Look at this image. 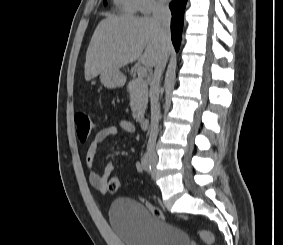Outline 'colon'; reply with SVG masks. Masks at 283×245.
<instances>
[{
  "mask_svg": "<svg viewBox=\"0 0 283 245\" xmlns=\"http://www.w3.org/2000/svg\"><path fill=\"white\" fill-rule=\"evenodd\" d=\"M75 123L77 126V136L81 142H86L93 129L94 124L87 113L81 112L75 116ZM120 186V182L117 178H111L108 182V192L114 193L118 190ZM144 204L150 210V212L157 218L165 219L163 212L156 207L155 205L151 204L148 201H145ZM197 234L199 237L206 243V244H214L215 236L213 233L207 230H198Z\"/></svg>",
  "mask_w": 283,
  "mask_h": 245,
  "instance_id": "1",
  "label": "colon"
}]
</instances>
